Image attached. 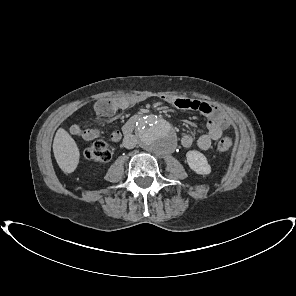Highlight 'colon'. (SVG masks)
Wrapping results in <instances>:
<instances>
[{
  "label": "colon",
  "mask_w": 296,
  "mask_h": 296,
  "mask_svg": "<svg viewBox=\"0 0 296 296\" xmlns=\"http://www.w3.org/2000/svg\"><path fill=\"white\" fill-rule=\"evenodd\" d=\"M233 140L230 137L222 138L217 143V149L219 151H227L231 148ZM111 149L104 140H96L90 144L83 152L84 158L92 160L98 163H105L111 158Z\"/></svg>",
  "instance_id": "obj_1"
}]
</instances>
